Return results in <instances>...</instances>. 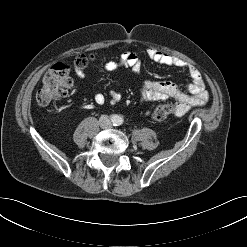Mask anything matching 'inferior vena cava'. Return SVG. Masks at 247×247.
Listing matches in <instances>:
<instances>
[{
	"label": "inferior vena cava",
	"mask_w": 247,
	"mask_h": 247,
	"mask_svg": "<svg viewBox=\"0 0 247 247\" xmlns=\"http://www.w3.org/2000/svg\"><path fill=\"white\" fill-rule=\"evenodd\" d=\"M100 124H101V126L103 128H109V127H111V122H110L108 116H106V115L101 116V118H100Z\"/></svg>",
	"instance_id": "1"
}]
</instances>
